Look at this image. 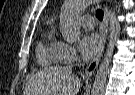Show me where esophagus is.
I'll use <instances>...</instances> for the list:
<instances>
[{
  "label": "esophagus",
  "instance_id": "34e87169",
  "mask_svg": "<svg viewBox=\"0 0 135 95\" xmlns=\"http://www.w3.org/2000/svg\"><path fill=\"white\" fill-rule=\"evenodd\" d=\"M101 35H102V46L99 51V53L94 57V59L89 63V65L85 69V76L90 77L94 73L95 69L97 68L100 58L102 56V53L104 51L105 42L107 38L108 33V17H107V9L104 10V18L101 23Z\"/></svg>",
  "mask_w": 135,
  "mask_h": 95
}]
</instances>
